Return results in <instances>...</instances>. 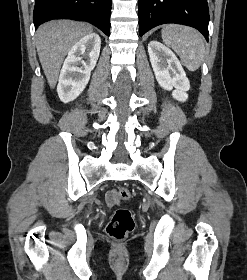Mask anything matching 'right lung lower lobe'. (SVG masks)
I'll return each mask as SVG.
<instances>
[{
    "mask_svg": "<svg viewBox=\"0 0 247 280\" xmlns=\"http://www.w3.org/2000/svg\"><path fill=\"white\" fill-rule=\"evenodd\" d=\"M111 3L112 0H36L35 29L45 21L68 18L91 22L109 36Z\"/></svg>",
    "mask_w": 247,
    "mask_h": 280,
    "instance_id": "1",
    "label": "right lung lower lobe"
}]
</instances>
